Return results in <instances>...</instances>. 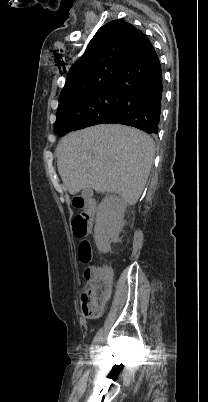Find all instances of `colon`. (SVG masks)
<instances>
[{"label": "colon", "instance_id": "5ec220e1", "mask_svg": "<svg viewBox=\"0 0 208 402\" xmlns=\"http://www.w3.org/2000/svg\"><path fill=\"white\" fill-rule=\"evenodd\" d=\"M73 234L77 238L88 239V230L91 226V219L88 215L77 216L72 221ZM92 244L90 241H81L77 247L76 254L79 256L80 263L87 265L83 274L86 285L80 294L83 301V314H104L106 301L111 296V266L99 268V262L93 261L92 256H88Z\"/></svg>", "mask_w": 208, "mask_h": 402}]
</instances>
